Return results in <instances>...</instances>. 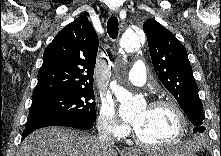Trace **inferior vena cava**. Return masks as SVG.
<instances>
[{
    "label": "inferior vena cava",
    "mask_w": 221,
    "mask_h": 156,
    "mask_svg": "<svg viewBox=\"0 0 221 156\" xmlns=\"http://www.w3.org/2000/svg\"><path fill=\"white\" fill-rule=\"evenodd\" d=\"M97 139L102 147L110 148L114 146V138L108 132L100 133Z\"/></svg>",
    "instance_id": "obj_1"
}]
</instances>
